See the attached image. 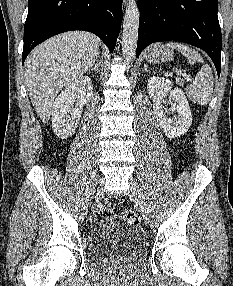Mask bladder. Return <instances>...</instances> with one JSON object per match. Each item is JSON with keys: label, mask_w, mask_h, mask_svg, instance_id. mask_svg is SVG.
Returning <instances> with one entry per match:
<instances>
[{"label": "bladder", "mask_w": 233, "mask_h": 286, "mask_svg": "<svg viewBox=\"0 0 233 286\" xmlns=\"http://www.w3.org/2000/svg\"><path fill=\"white\" fill-rule=\"evenodd\" d=\"M89 252L97 260L123 257L139 261L147 252L146 237L138 228L114 217L100 219L91 231Z\"/></svg>", "instance_id": "31cf9c89"}]
</instances>
